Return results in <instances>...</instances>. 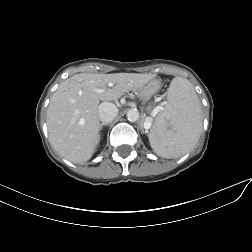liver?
<instances>
[{"mask_svg":"<svg viewBox=\"0 0 252 252\" xmlns=\"http://www.w3.org/2000/svg\"><path fill=\"white\" fill-rule=\"evenodd\" d=\"M152 78L151 74L137 73H81L62 82L47 109L53 148L72 163L87 162L99 142L100 101H116L125 92L142 88Z\"/></svg>","mask_w":252,"mask_h":252,"instance_id":"6515ba94","label":"liver"}]
</instances>
